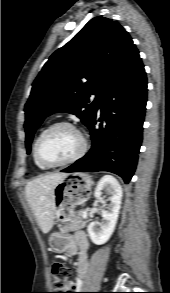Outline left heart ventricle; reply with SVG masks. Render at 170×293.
<instances>
[{
  "instance_id": "b2bd125f",
  "label": "left heart ventricle",
  "mask_w": 170,
  "mask_h": 293,
  "mask_svg": "<svg viewBox=\"0 0 170 293\" xmlns=\"http://www.w3.org/2000/svg\"><path fill=\"white\" fill-rule=\"evenodd\" d=\"M81 139L70 128L60 127L51 131L40 146L41 157L50 163L65 161L79 152Z\"/></svg>"
}]
</instances>
